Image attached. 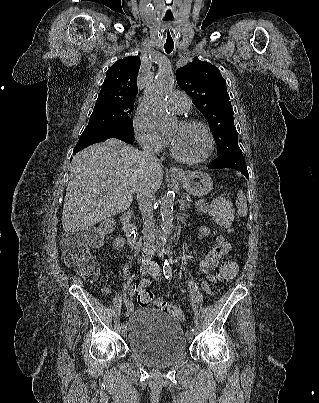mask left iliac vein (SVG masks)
I'll return each mask as SVG.
<instances>
[{
	"instance_id": "4c4485c4",
	"label": "left iliac vein",
	"mask_w": 319,
	"mask_h": 403,
	"mask_svg": "<svg viewBox=\"0 0 319 403\" xmlns=\"http://www.w3.org/2000/svg\"><path fill=\"white\" fill-rule=\"evenodd\" d=\"M151 270H152V274H151V275H152L155 279L160 280V278H161V271H160V269L158 268V266H157L156 264H152ZM186 337H187V340H188V341H191V340L193 339V333H192V332L187 333Z\"/></svg>"
}]
</instances>
